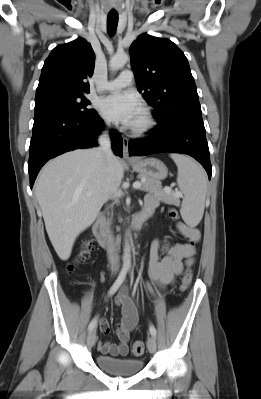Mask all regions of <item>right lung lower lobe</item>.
Here are the masks:
<instances>
[{"label":"right lung lower lobe","mask_w":261,"mask_h":399,"mask_svg":"<svg viewBox=\"0 0 261 399\" xmlns=\"http://www.w3.org/2000/svg\"><path fill=\"white\" fill-rule=\"evenodd\" d=\"M102 128L103 121L97 112L90 118L61 111L35 115L28 161L30 187L49 159L74 149L97 146L96 139ZM110 134L114 153L122 156V137L114 130Z\"/></svg>","instance_id":"98d812e1"}]
</instances>
